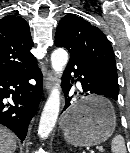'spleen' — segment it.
Wrapping results in <instances>:
<instances>
[{"label": "spleen", "mask_w": 130, "mask_h": 153, "mask_svg": "<svg viewBox=\"0 0 130 153\" xmlns=\"http://www.w3.org/2000/svg\"><path fill=\"white\" fill-rule=\"evenodd\" d=\"M111 150L113 153H126V146L124 138L121 135H116L112 139Z\"/></svg>", "instance_id": "1"}]
</instances>
